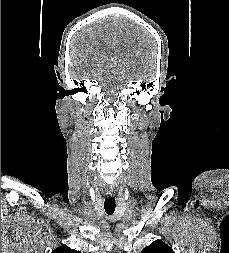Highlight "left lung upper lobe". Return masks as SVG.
Listing matches in <instances>:
<instances>
[{
    "instance_id": "5c2ea615",
    "label": "left lung upper lobe",
    "mask_w": 229,
    "mask_h": 253,
    "mask_svg": "<svg viewBox=\"0 0 229 253\" xmlns=\"http://www.w3.org/2000/svg\"><path fill=\"white\" fill-rule=\"evenodd\" d=\"M141 253H175L172 248L167 246L164 242L157 240L145 247Z\"/></svg>"
}]
</instances>
